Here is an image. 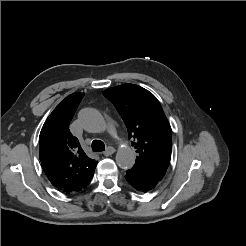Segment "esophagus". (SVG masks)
I'll return each instance as SVG.
<instances>
[{
    "label": "esophagus",
    "instance_id": "esophagus-1",
    "mask_svg": "<svg viewBox=\"0 0 246 246\" xmlns=\"http://www.w3.org/2000/svg\"><path fill=\"white\" fill-rule=\"evenodd\" d=\"M115 152V149L111 146L107 147V149L103 152L104 156H110Z\"/></svg>",
    "mask_w": 246,
    "mask_h": 246
}]
</instances>
